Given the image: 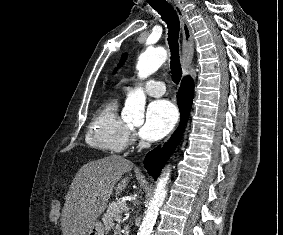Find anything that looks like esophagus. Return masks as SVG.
Masks as SVG:
<instances>
[{
	"label": "esophagus",
	"mask_w": 283,
	"mask_h": 235,
	"mask_svg": "<svg viewBox=\"0 0 283 235\" xmlns=\"http://www.w3.org/2000/svg\"><path fill=\"white\" fill-rule=\"evenodd\" d=\"M176 11L182 29V69L184 75L188 74V69L192 61L193 52H194V44H193V36L190 25L187 21L186 15L179 4L176 2H170Z\"/></svg>",
	"instance_id": "esophagus-1"
}]
</instances>
